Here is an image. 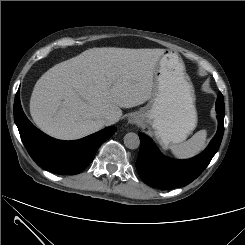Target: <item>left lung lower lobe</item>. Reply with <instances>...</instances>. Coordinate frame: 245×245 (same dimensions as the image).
Returning a JSON list of instances; mask_svg holds the SVG:
<instances>
[{
  "label": "left lung lower lobe",
  "instance_id": "0a47b994",
  "mask_svg": "<svg viewBox=\"0 0 245 245\" xmlns=\"http://www.w3.org/2000/svg\"><path fill=\"white\" fill-rule=\"evenodd\" d=\"M218 130L209 146L200 155L189 160H174L162 155L153 141L139 134L140 150L136 162L137 171L144 183L160 188L183 187L196 179L208 166L219 149L224 133V98L221 92L216 101Z\"/></svg>",
  "mask_w": 245,
  "mask_h": 245
}]
</instances>
